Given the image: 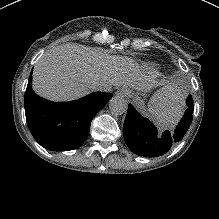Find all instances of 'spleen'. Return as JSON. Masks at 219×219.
Returning <instances> with one entry per match:
<instances>
[{"label": "spleen", "instance_id": "obj_1", "mask_svg": "<svg viewBox=\"0 0 219 219\" xmlns=\"http://www.w3.org/2000/svg\"><path fill=\"white\" fill-rule=\"evenodd\" d=\"M149 116L159 129H163V127L172 128L173 123H175L180 116V110L161 107L157 108Z\"/></svg>", "mask_w": 219, "mask_h": 219}]
</instances>
